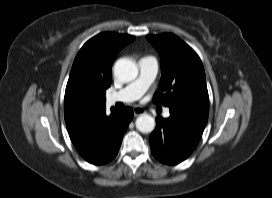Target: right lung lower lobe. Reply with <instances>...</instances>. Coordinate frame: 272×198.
Returning a JSON list of instances; mask_svg holds the SVG:
<instances>
[{
    "mask_svg": "<svg viewBox=\"0 0 272 198\" xmlns=\"http://www.w3.org/2000/svg\"><path fill=\"white\" fill-rule=\"evenodd\" d=\"M133 110L106 108L91 116L76 127L68 130L72 143L79 154L89 163L105 164L117 155L123 135L133 118Z\"/></svg>",
    "mask_w": 272,
    "mask_h": 198,
    "instance_id": "right-lung-lower-lobe-1",
    "label": "right lung lower lobe"
}]
</instances>
